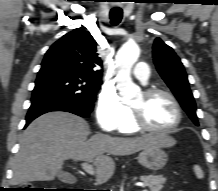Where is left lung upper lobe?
I'll return each mask as SVG.
<instances>
[{"instance_id":"obj_1","label":"left lung upper lobe","mask_w":218,"mask_h":191,"mask_svg":"<svg viewBox=\"0 0 218 191\" xmlns=\"http://www.w3.org/2000/svg\"><path fill=\"white\" fill-rule=\"evenodd\" d=\"M153 58L159 74L176 96L190 119L198 126L196 104L180 58L160 38L155 39Z\"/></svg>"}]
</instances>
